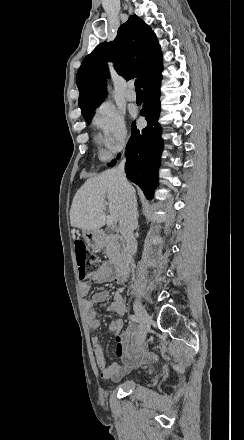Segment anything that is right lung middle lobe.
<instances>
[{
	"instance_id": "dd1d6c3e",
	"label": "right lung middle lobe",
	"mask_w": 244,
	"mask_h": 440,
	"mask_svg": "<svg viewBox=\"0 0 244 440\" xmlns=\"http://www.w3.org/2000/svg\"><path fill=\"white\" fill-rule=\"evenodd\" d=\"M96 108H94L93 110L87 111V112H82L85 121L89 124L92 120V117L94 115V111Z\"/></svg>"
}]
</instances>
